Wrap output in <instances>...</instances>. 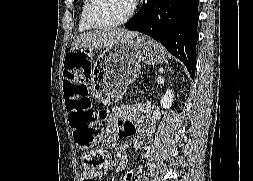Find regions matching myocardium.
<instances>
[{
  "instance_id": "f54148a6",
  "label": "myocardium",
  "mask_w": 253,
  "mask_h": 181,
  "mask_svg": "<svg viewBox=\"0 0 253 181\" xmlns=\"http://www.w3.org/2000/svg\"><path fill=\"white\" fill-rule=\"evenodd\" d=\"M96 3H97V0H88V4L85 10V17H86L87 23L96 29H109V28L120 27L126 24L127 22H129L135 14L136 6L135 4H132V7L130 11L128 12V14L121 20L116 21V22L100 21L94 15V9H95Z\"/></svg>"
}]
</instances>
